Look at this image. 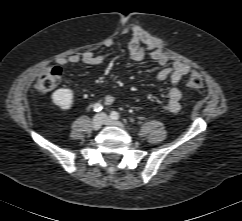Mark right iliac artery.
I'll return each instance as SVG.
<instances>
[{"label": "right iliac artery", "instance_id": "1", "mask_svg": "<svg viewBox=\"0 0 242 221\" xmlns=\"http://www.w3.org/2000/svg\"><path fill=\"white\" fill-rule=\"evenodd\" d=\"M102 108H103L102 105L99 104V103H96V104L93 106V109H94L95 112H99V111H101Z\"/></svg>", "mask_w": 242, "mask_h": 221}]
</instances>
